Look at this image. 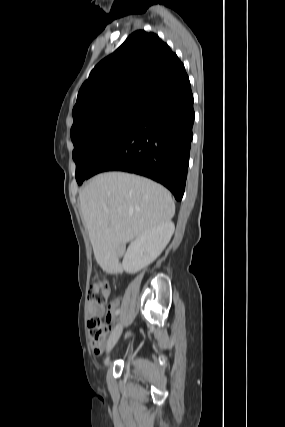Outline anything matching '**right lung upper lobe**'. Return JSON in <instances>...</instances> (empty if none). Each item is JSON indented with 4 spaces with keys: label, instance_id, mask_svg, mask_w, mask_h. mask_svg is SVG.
<instances>
[{
    "label": "right lung upper lobe",
    "instance_id": "obj_1",
    "mask_svg": "<svg viewBox=\"0 0 285 427\" xmlns=\"http://www.w3.org/2000/svg\"><path fill=\"white\" fill-rule=\"evenodd\" d=\"M183 73V63L158 35L135 31L95 66L81 86L71 133L124 107L144 105L154 91Z\"/></svg>",
    "mask_w": 285,
    "mask_h": 427
}]
</instances>
